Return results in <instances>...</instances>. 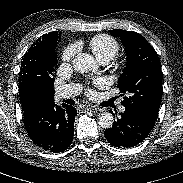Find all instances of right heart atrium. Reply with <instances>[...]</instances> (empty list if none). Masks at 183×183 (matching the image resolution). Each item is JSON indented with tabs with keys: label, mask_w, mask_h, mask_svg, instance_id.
I'll use <instances>...</instances> for the list:
<instances>
[{
	"label": "right heart atrium",
	"mask_w": 183,
	"mask_h": 183,
	"mask_svg": "<svg viewBox=\"0 0 183 183\" xmlns=\"http://www.w3.org/2000/svg\"><path fill=\"white\" fill-rule=\"evenodd\" d=\"M76 48L74 45L67 46L62 53L63 63H69L73 56L75 55Z\"/></svg>",
	"instance_id": "1"
}]
</instances>
